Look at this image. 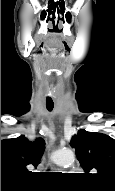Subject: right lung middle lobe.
<instances>
[{
    "mask_svg": "<svg viewBox=\"0 0 115 191\" xmlns=\"http://www.w3.org/2000/svg\"><path fill=\"white\" fill-rule=\"evenodd\" d=\"M10 190L9 188H1V191Z\"/></svg>",
    "mask_w": 115,
    "mask_h": 191,
    "instance_id": "right-lung-middle-lobe-1",
    "label": "right lung middle lobe"
}]
</instances>
